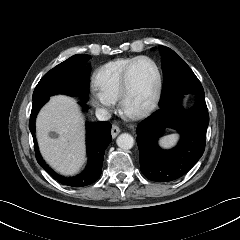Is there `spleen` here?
I'll list each match as a JSON object with an SVG mask.
<instances>
[{"mask_svg": "<svg viewBox=\"0 0 240 240\" xmlns=\"http://www.w3.org/2000/svg\"><path fill=\"white\" fill-rule=\"evenodd\" d=\"M179 136L177 134H171L164 136L160 139V145L164 148H171L178 141Z\"/></svg>", "mask_w": 240, "mask_h": 240, "instance_id": "1", "label": "spleen"}]
</instances>
